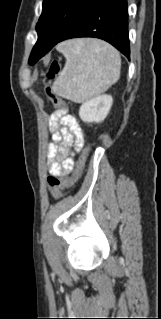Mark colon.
Returning a JSON list of instances; mask_svg holds the SVG:
<instances>
[{"label": "colon", "mask_w": 161, "mask_h": 319, "mask_svg": "<svg viewBox=\"0 0 161 319\" xmlns=\"http://www.w3.org/2000/svg\"><path fill=\"white\" fill-rule=\"evenodd\" d=\"M61 73V66L60 63L57 60H54L51 62L50 66L45 72L44 75V84L46 86L45 90L48 95V97L51 99L53 104L58 108L61 109L64 112H67L69 109V105L59 99L51 90L50 84L53 80H55ZM90 146H88L83 153L81 154L77 168L74 171L73 175L68 178L58 177L51 175L47 179V185L48 190L54 195L56 199H60L62 196V191L70 186H72L79 176L81 175L84 161L87 155V152L89 151Z\"/></svg>", "instance_id": "5ec220e1"}]
</instances>
